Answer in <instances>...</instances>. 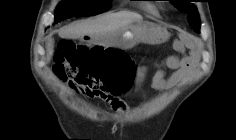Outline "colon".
Listing matches in <instances>:
<instances>
[{
	"label": "colon",
	"mask_w": 236,
	"mask_h": 140,
	"mask_svg": "<svg viewBox=\"0 0 236 140\" xmlns=\"http://www.w3.org/2000/svg\"><path fill=\"white\" fill-rule=\"evenodd\" d=\"M53 70L59 79L69 81L79 92L110 103L120 99L132 84L136 67L122 50L62 40Z\"/></svg>",
	"instance_id": "obj_1"
}]
</instances>
